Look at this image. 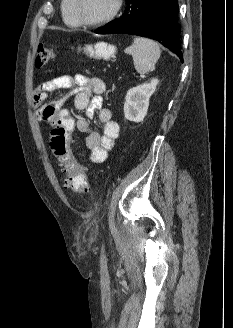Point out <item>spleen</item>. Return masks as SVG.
Masks as SVG:
<instances>
[{"label": "spleen", "mask_w": 233, "mask_h": 328, "mask_svg": "<svg viewBox=\"0 0 233 328\" xmlns=\"http://www.w3.org/2000/svg\"><path fill=\"white\" fill-rule=\"evenodd\" d=\"M125 53L133 57L134 67L140 74H146L154 69L161 55L157 42L145 37H136L133 43L125 49Z\"/></svg>", "instance_id": "1"}]
</instances>
